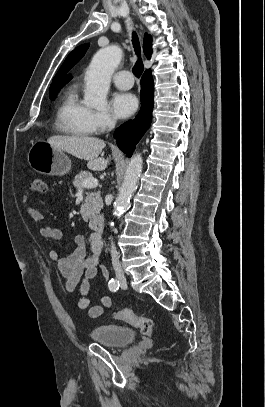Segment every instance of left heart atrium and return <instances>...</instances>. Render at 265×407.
<instances>
[{
    "label": "left heart atrium",
    "instance_id": "39dd6f15",
    "mask_svg": "<svg viewBox=\"0 0 265 407\" xmlns=\"http://www.w3.org/2000/svg\"><path fill=\"white\" fill-rule=\"evenodd\" d=\"M111 104L115 114L118 117L126 118L136 111L138 107V100L131 93L119 92L113 95Z\"/></svg>",
    "mask_w": 265,
    "mask_h": 407
}]
</instances>
